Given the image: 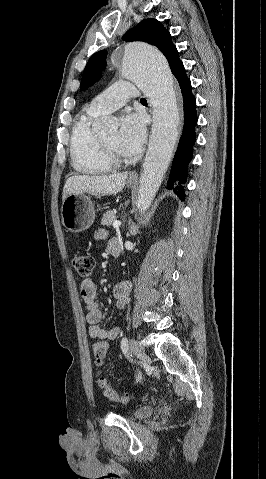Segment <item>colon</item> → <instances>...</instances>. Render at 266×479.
<instances>
[{
	"label": "colon",
	"mask_w": 266,
	"mask_h": 479,
	"mask_svg": "<svg viewBox=\"0 0 266 479\" xmlns=\"http://www.w3.org/2000/svg\"><path fill=\"white\" fill-rule=\"evenodd\" d=\"M71 263L77 274L82 278H88L94 266V259L88 254L82 252H74L71 256ZM94 358L97 364H102L108 350V342L106 340H97L92 346ZM98 385L103 391L104 397L111 402L127 403L131 400L129 394L119 396L112 388L109 387L104 377H99Z\"/></svg>",
	"instance_id": "5ec220e1"
}]
</instances>
